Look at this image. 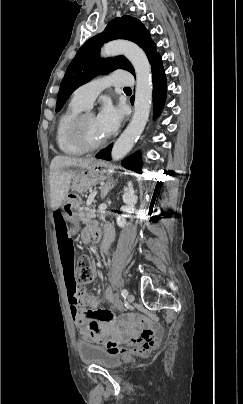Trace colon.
<instances>
[{
  "instance_id": "1",
  "label": "colon",
  "mask_w": 243,
  "mask_h": 404,
  "mask_svg": "<svg viewBox=\"0 0 243 404\" xmlns=\"http://www.w3.org/2000/svg\"><path fill=\"white\" fill-rule=\"evenodd\" d=\"M95 277L94 266L90 258L83 255L79 258L77 263L76 279L80 283H90ZM103 299L111 304H114V294L111 288H107L103 293ZM71 301L75 304L89 305L96 309L94 306L96 301L94 298L86 294L84 291H76L71 294ZM160 336L154 328H145L141 331L138 338L134 341L133 352L146 354L155 349L159 344ZM109 349L115 350L118 348L114 341L107 343Z\"/></svg>"
}]
</instances>
